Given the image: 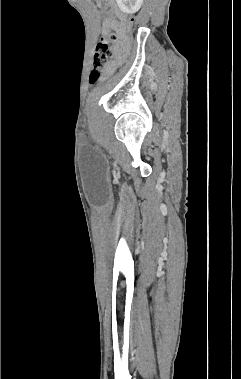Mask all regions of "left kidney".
Returning a JSON list of instances; mask_svg holds the SVG:
<instances>
[{"instance_id": "obj_1", "label": "left kidney", "mask_w": 241, "mask_h": 379, "mask_svg": "<svg viewBox=\"0 0 241 379\" xmlns=\"http://www.w3.org/2000/svg\"><path fill=\"white\" fill-rule=\"evenodd\" d=\"M116 2L122 12L133 14L140 9L143 0H116Z\"/></svg>"}]
</instances>
